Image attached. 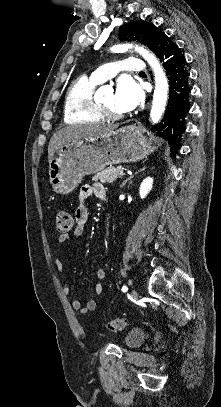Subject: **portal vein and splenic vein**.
<instances>
[{
  "label": "portal vein and splenic vein",
  "instance_id": "18ae733b",
  "mask_svg": "<svg viewBox=\"0 0 221 407\" xmlns=\"http://www.w3.org/2000/svg\"><path fill=\"white\" fill-rule=\"evenodd\" d=\"M119 175L123 176V175H125V173L123 171H120Z\"/></svg>",
  "mask_w": 221,
  "mask_h": 407
}]
</instances>
